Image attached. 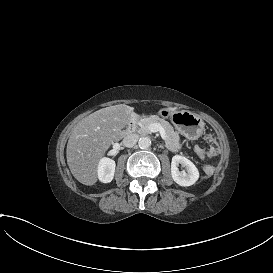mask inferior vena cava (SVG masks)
Listing matches in <instances>:
<instances>
[{
  "label": "inferior vena cava",
  "instance_id": "inferior-vena-cava-1",
  "mask_svg": "<svg viewBox=\"0 0 273 273\" xmlns=\"http://www.w3.org/2000/svg\"><path fill=\"white\" fill-rule=\"evenodd\" d=\"M138 140L139 136L137 134H129L123 139V145L127 148H130L133 147Z\"/></svg>",
  "mask_w": 273,
  "mask_h": 273
}]
</instances>
